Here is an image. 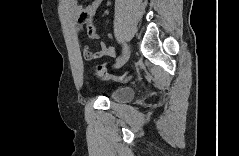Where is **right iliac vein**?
<instances>
[{
  "label": "right iliac vein",
  "instance_id": "1",
  "mask_svg": "<svg viewBox=\"0 0 239 156\" xmlns=\"http://www.w3.org/2000/svg\"><path fill=\"white\" fill-rule=\"evenodd\" d=\"M129 56H130V47L127 46V49L124 52V54L117 60L115 68L122 67L128 61Z\"/></svg>",
  "mask_w": 239,
  "mask_h": 156
}]
</instances>
